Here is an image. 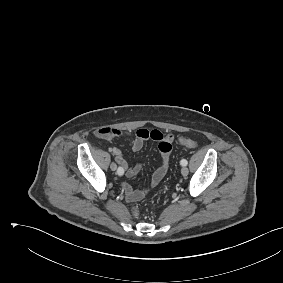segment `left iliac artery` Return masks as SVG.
Segmentation results:
<instances>
[{
	"label": "left iliac artery",
	"mask_w": 283,
	"mask_h": 283,
	"mask_svg": "<svg viewBox=\"0 0 283 283\" xmlns=\"http://www.w3.org/2000/svg\"><path fill=\"white\" fill-rule=\"evenodd\" d=\"M180 164H181L182 166H186V165L188 164V162H187L186 159H182V160L180 161Z\"/></svg>",
	"instance_id": "left-iliac-artery-1"
}]
</instances>
